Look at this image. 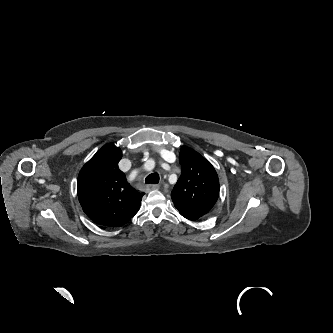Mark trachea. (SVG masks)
Instances as JSON below:
<instances>
[{
    "label": "trachea",
    "mask_w": 333,
    "mask_h": 333,
    "mask_svg": "<svg viewBox=\"0 0 333 333\" xmlns=\"http://www.w3.org/2000/svg\"><path fill=\"white\" fill-rule=\"evenodd\" d=\"M145 182L147 184H158L159 183V175L157 173H151L146 177Z\"/></svg>",
    "instance_id": "1"
}]
</instances>
